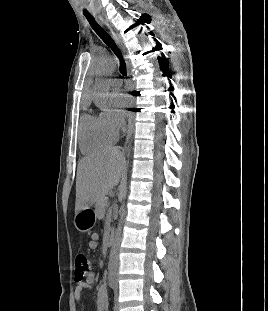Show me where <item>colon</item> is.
<instances>
[{"label":"colon","instance_id":"colon-1","mask_svg":"<svg viewBox=\"0 0 268 311\" xmlns=\"http://www.w3.org/2000/svg\"><path fill=\"white\" fill-rule=\"evenodd\" d=\"M90 273V262L87 256L79 253L75 257V280L81 281Z\"/></svg>","mask_w":268,"mask_h":311}]
</instances>
